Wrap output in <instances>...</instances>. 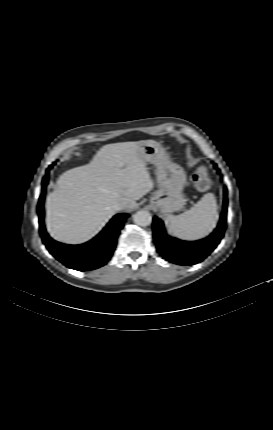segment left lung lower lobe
<instances>
[{
  "instance_id": "obj_1",
  "label": "left lung lower lobe",
  "mask_w": 273,
  "mask_h": 430,
  "mask_svg": "<svg viewBox=\"0 0 273 430\" xmlns=\"http://www.w3.org/2000/svg\"><path fill=\"white\" fill-rule=\"evenodd\" d=\"M216 166V165H215ZM227 215V188L224 187L223 212L214 232L205 239L187 242L169 237L163 222L154 217L153 236L157 251L166 260L178 265H192L203 261L219 244L224 235Z\"/></svg>"
}]
</instances>
